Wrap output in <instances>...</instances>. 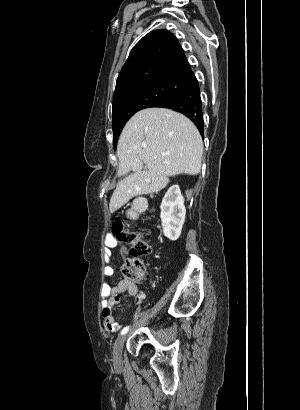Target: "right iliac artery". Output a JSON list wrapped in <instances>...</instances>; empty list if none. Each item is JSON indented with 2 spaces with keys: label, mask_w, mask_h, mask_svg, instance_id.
I'll use <instances>...</instances> for the list:
<instances>
[{
  "label": "right iliac artery",
  "mask_w": 300,
  "mask_h": 410,
  "mask_svg": "<svg viewBox=\"0 0 300 410\" xmlns=\"http://www.w3.org/2000/svg\"><path fill=\"white\" fill-rule=\"evenodd\" d=\"M129 328V326L124 327L121 331V335H125L128 332Z\"/></svg>",
  "instance_id": "right-iliac-artery-1"
}]
</instances>
